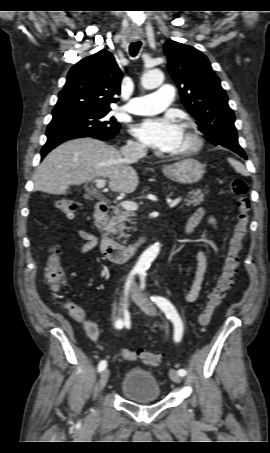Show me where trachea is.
<instances>
[{"instance_id":"1","label":"trachea","mask_w":270,"mask_h":453,"mask_svg":"<svg viewBox=\"0 0 270 453\" xmlns=\"http://www.w3.org/2000/svg\"><path fill=\"white\" fill-rule=\"evenodd\" d=\"M140 47H141V42L140 41L131 43L130 46H129L130 55L132 57L137 56V54H138V52L140 50Z\"/></svg>"}]
</instances>
